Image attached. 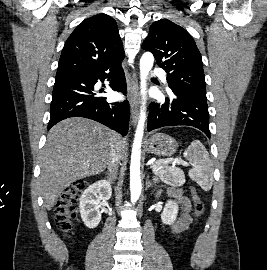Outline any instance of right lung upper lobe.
Segmentation results:
<instances>
[{"label":"right lung upper lobe","instance_id":"right-lung-upper-lobe-1","mask_svg":"<svg viewBox=\"0 0 267 270\" xmlns=\"http://www.w3.org/2000/svg\"><path fill=\"white\" fill-rule=\"evenodd\" d=\"M124 55L116 21L97 14L78 25L65 42L57 75L103 67Z\"/></svg>","mask_w":267,"mask_h":270}]
</instances>
